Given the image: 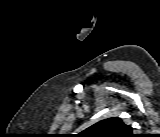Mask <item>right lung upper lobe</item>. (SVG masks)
I'll list each match as a JSON object with an SVG mask.
<instances>
[{
	"instance_id": "obj_1",
	"label": "right lung upper lobe",
	"mask_w": 160,
	"mask_h": 137,
	"mask_svg": "<svg viewBox=\"0 0 160 137\" xmlns=\"http://www.w3.org/2000/svg\"><path fill=\"white\" fill-rule=\"evenodd\" d=\"M84 137H130L132 127L120 118L112 117L101 120L81 132Z\"/></svg>"
}]
</instances>
